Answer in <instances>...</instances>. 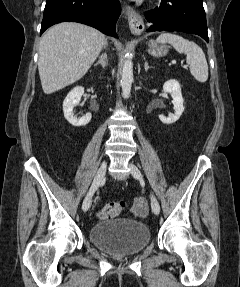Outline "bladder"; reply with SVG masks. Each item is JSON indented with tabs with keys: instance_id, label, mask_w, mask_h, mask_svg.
I'll return each instance as SVG.
<instances>
[{
	"instance_id": "1",
	"label": "bladder",
	"mask_w": 240,
	"mask_h": 287,
	"mask_svg": "<svg viewBox=\"0 0 240 287\" xmlns=\"http://www.w3.org/2000/svg\"><path fill=\"white\" fill-rule=\"evenodd\" d=\"M89 241L100 250L126 256L141 252L151 241L147 224L127 219H114L93 225L88 232Z\"/></svg>"
}]
</instances>
